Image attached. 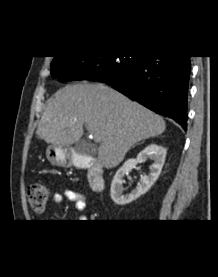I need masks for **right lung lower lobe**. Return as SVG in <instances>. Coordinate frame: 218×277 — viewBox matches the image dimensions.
Returning a JSON list of instances; mask_svg holds the SVG:
<instances>
[{
    "instance_id": "obj_1",
    "label": "right lung lower lobe",
    "mask_w": 218,
    "mask_h": 277,
    "mask_svg": "<svg viewBox=\"0 0 218 277\" xmlns=\"http://www.w3.org/2000/svg\"><path fill=\"white\" fill-rule=\"evenodd\" d=\"M190 71L189 56L147 55L122 80H90L113 86L150 110L172 118L186 130Z\"/></svg>"
}]
</instances>
